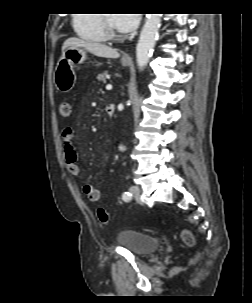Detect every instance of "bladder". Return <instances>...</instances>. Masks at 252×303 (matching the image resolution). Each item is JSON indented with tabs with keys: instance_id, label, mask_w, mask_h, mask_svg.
Instances as JSON below:
<instances>
[{
	"instance_id": "bladder-1",
	"label": "bladder",
	"mask_w": 252,
	"mask_h": 303,
	"mask_svg": "<svg viewBox=\"0 0 252 303\" xmlns=\"http://www.w3.org/2000/svg\"><path fill=\"white\" fill-rule=\"evenodd\" d=\"M116 240L138 256H147L160 247V241L156 237L135 230L120 232Z\"/></svg>"
}]
</instances>
